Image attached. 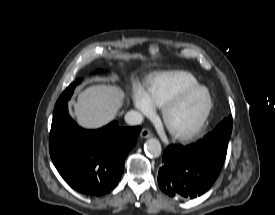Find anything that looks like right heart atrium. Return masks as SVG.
<instances>
[{"label":"right heart atrium","instance_id":"1","mask_svg":"<svg viewBox=\"0 0 275 215\" xmlns=\"http://www.w3.org/2000/svg\"><path fill=\"white\" fill-rule=\"evenodd\" d=\"M133 101L138 111L144 116H152L155 112V105L148 93L141 87H135Z\"/></svg>","mask_w":275,"mask_h":215}]
</instances>
